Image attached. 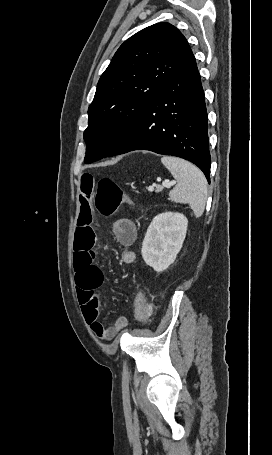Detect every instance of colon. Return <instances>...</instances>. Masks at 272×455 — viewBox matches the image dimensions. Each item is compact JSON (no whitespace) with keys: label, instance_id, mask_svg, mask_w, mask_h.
<instances>
[{"label":"colon","instance_id":"5ec220e1","mask_svg":"<svg viewBox=\"0 0 272 455\" xmlns=\"http://www.w3.org/2000/svg\"><path fill=\"white\" fill-rule=\"evenodd\" d=\"M122 204H131L120 186L112 179L103 177L96 185L95 206L100 214L109 217L116 213ZM135 316L138 321L145 322L152 315V305L146 292L140 288L135 298Z\"/></svg>","mask_w":272,"mask_h":455}]
</instances>
